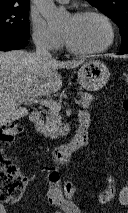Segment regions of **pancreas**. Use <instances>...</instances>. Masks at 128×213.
Segmentation results:
<instances>
[{
    "label": "pancreas",
    "mask_w": 128,
    "mask_h": 213,
    "mask_svg": "<svg viewBox=\"0 0 128 213\" xmlns=\"http://www.w3.org/2000/svg\"><path fill=\"white\" fill-rule=\"evenodd\" d=\"M78 94L81 96L79 104L83 108H89L94 96L86 92H79ZM61 119L60 110L49 109L44 124V134L47 137L54 139L58 136H65L68 134L69 127L62 123Z\"/></svg>",
    "instance_id": "pancreas-1"
}]
</instances>
